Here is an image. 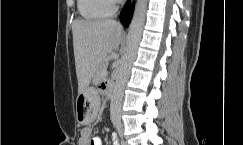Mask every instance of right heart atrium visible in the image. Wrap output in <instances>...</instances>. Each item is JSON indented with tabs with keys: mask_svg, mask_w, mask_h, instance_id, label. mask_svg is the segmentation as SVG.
Wrapping results in <instances>:
<instances>
[{
	"mask_svg": "<svg viewBox=\"0 0 243 145\" xmlns=\"http://www.w3.org/2000/svg\"><path fill=\"white\" fill-rule=\"evenodd\" d=\"M118 0H110V2L114 5Z\"/></svg>",
	"mask_w": 243,
	"mask_h": 145,
	"instance_id": "1",
	"label": "right heart atrium"
}]
</instances>
